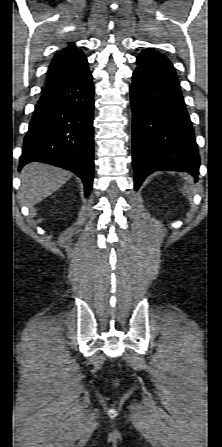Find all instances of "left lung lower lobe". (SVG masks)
Returning <instances> with one entry per match:
<instances>
[{
	"label": "left lung lower lobe",
	"instance_id": "left-lung-lower-lobe-1",
	"mask_svg": "<svg viewBox=\"0 0 222 447\" xmlns=\"http://www.w3.org/2000/svg\"><path fill=\"white\" fill-rule=\"evenodd\" d=\"M136 62L130 88L135 189L155 171L197 177L195 134L172 63L153 49L142 51Z\"/></svg>",
	"mask_w": 222,
	"mask_h": 447
}]
</instances>
